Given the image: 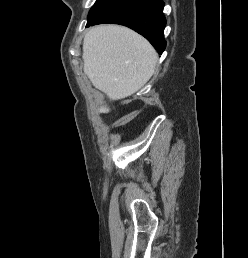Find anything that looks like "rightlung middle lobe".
<instances>
[{
  "label": "right lung middle lobe",
  "mask_w": 248,
  "mask_h": 258,
  "mask_svg": "<svg viewBox=\"0 0 248 258\" xmlns=\"http://www.w3.org/2000/svg\"><path fill=\"white\" fill-rule=\"evenodd\" d=\"M117 1L118 0H97L89 12L88 21L98 18Z\"/></svg>",
  "instance_id": "dd1d6c3e"
}]
</instances>
